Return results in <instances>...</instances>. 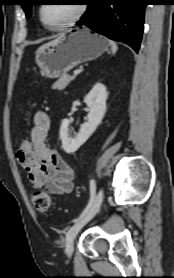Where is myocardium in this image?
Returning <instances> with one entry per match:
<instances>
[{
    "instance_id": "f54148a6",
    "label": "myocardium",
    "mask_w": 174,
    "mask_h": 278,
    "mask_svg": "<svg viewBox=\"0 0 174 278\" xmlns=\"http://www.w3.org/2000/svg\"><path fill=\"white\" fill-rule=\"evenodd\" d=\"M43 8H44V5H41L39 8V18H40L41 23L49 30L58 31V30H61L65 27L70 26L73 23L77 22L85 14V12L87 10V4H85V3L79 4L77 13L72 18L67 20L66 22H64L60 25H57V26H51L45 21L44 16H43Z\"/></svg>"
}]
</instances>
